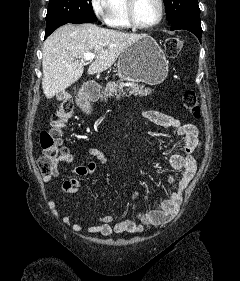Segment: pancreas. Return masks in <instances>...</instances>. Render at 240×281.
Here are the masks:
<instances>
[{
    "label": "pancreas",
    "instance_id": "obj_1",
    "mask_svg": "<svg viewBox=\"0 0 240 281\" xmlns=\"http://www.w3.org/2000/svg\"><path fill=\"white\" fill-rule=\"evenodd\" d=\"M123 88L124 84L122 82H110L102 90L100 98L101 100H107L108 98H121L131 95L147 96L152 92L150 88H146L144 85H133L125 90Z\"/></svg>",
    "mask_w": 240,
    "mask_h": 281
}]
</instances>
